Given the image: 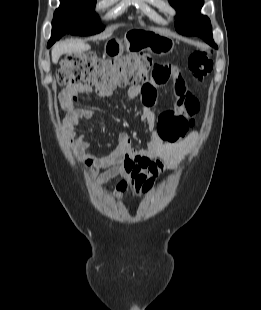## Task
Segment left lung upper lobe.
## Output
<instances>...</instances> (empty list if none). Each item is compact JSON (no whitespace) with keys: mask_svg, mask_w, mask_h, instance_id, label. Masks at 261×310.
Returning <instances> with one entry per match:
<instances>
[{"mask_svg":"<svg viewBox=\"0 0 261 310\" xmlns=\"http://www.w3.org/2000/svg\"><path fill=\"white\" fill-rule=\"evenodd\" d=\"M177 11L175 27L183 35H195L201 26L210 24L207 16L200 14L203 0H169Z\"/></svg>","mask_w":261,"mask_h":310,"instance_id":"1","label":"left lung upper lobe"}]
</instances>
